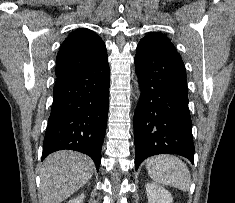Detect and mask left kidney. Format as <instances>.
Here are the masks:
<instances>
[{
	"label": "left kidney",
	"instance_id": "5707ae66",
	"mask_svg": "<svg viewBox=\"0 0 235 203\" xmlns=\"http://www.w3.org/2000/svg\"><path fill=\"white\" fill-rule=\"evenodd\" d=\"M146 193L148 203H173V197L170 192L155 183L146 184Z\"/></svg>",
	"mask_w": 235,
	"mask_h": 203
}]
</instances>
